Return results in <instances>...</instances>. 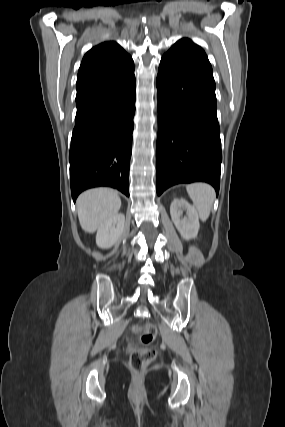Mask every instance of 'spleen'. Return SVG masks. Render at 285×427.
<instances>
[{"label": "spleen", "mask_w": 285, "mask_h": 427, "mask_svg": "<svg viewBox=\"0 0 285 427\" xmlns=\"http://www.w3.org/2000/svg\"><path fill=\"white\" fill-rule=\"evenodd\" d=\"M187 193L202 221H206L210 215L215 198L214 189L206 183H194L186 186Z\"/></svg>", "instance_id": "1"}]
</instances>
